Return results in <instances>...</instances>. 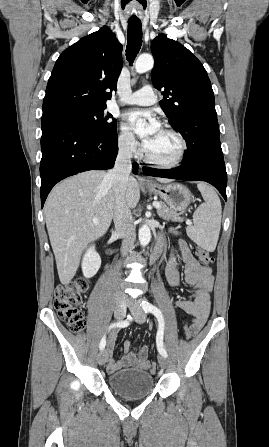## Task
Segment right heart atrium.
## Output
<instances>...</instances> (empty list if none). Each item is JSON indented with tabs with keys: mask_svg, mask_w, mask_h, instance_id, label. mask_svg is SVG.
Here are the masks:
<instances>
[{
	"mask_svg": "<svg viewBox=\"0 0 269 447\" xmlns=\"http://www.w3.org/2000/svg\"><path fill=\"white\" fill-rule=\"evenodd\" d=\"M117 141L121 151L128 155H138L141 152L140 143L128 133L121 132Z\"/></svg>",
	"mask_w": 269,
	"mask_h": 447,
	"instance_id": "obj_1",
	"label": "right heart atrium"
}]
</instances>
